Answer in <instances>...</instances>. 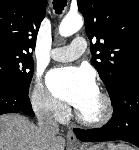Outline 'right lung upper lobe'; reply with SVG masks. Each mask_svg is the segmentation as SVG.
<instances>
[{"label": "right lung upper lobe", "instance_id": "1", "mask_svg": "<svg viewBox=\"0 0 139 150\" xmlns=\"http://www.w3.org/2000/svg\"><path fill=\"white\" fill-rule=\"evenodd\" d=\"M46 11V0H0V49L30 54Z\"/></svg>", "mask_w": 139, "mask_h": 150}]
</instances>
